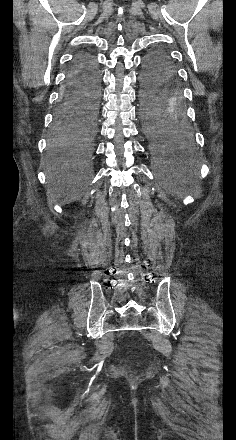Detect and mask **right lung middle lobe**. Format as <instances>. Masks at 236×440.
<instances>
[{
	"label": "right lung middle lobe",
	"instance_id": "obj_1",
	"mask_svg": "<svg viewBox=\"0 0 236 440\" xmlns=\"http://www.w3.org/2000/svg\"><path fill=\"white\" fill-rule=\"evenodd\" d=\"M81 92L85 106L79 124L70 130H54L50 137L48 156L57 163L86 159L91 153L100 85L97 81L88 83Z\"/></svg>",
	"mask_w": 236,
	"mask_h": 440
}]
</instances>
